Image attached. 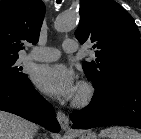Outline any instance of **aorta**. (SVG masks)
Here are the masks:
<instances>
[{
	"label": "aorta",
	"instance_id": "762f6f07",
	"mask_svg": "<svg viewBox=\"0 0 141 139\" xmlns=\"http://www.w3.org/2000/svg\"><path fill=\"white\" fill-rule=\"evenodd\" d=\"M78 16L75 13H65L59 16L55 21V29L58 32H68L77 25Z\"/></svg>",
	"mask_w": 141,
	"mask_h": 139
}]
</instances>
